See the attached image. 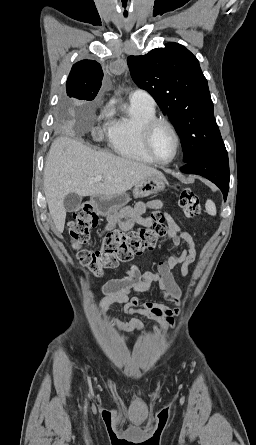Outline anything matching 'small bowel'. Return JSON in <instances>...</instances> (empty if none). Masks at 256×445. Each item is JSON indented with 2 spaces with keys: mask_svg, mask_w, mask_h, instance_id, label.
<instances>
[{
  "mask_svg": "<svg viewBox=\"0 0 256 445\" xmlns=\"http://www.w3.org/2000/svg\"><path fill=\"white\" fill-rule=\"evenodd\" d=\"M162 202L153 200L147 203H138L127 220L118 224H108L102 232L100 238L105 232L118 227L123 231L131 229L134 225L148 226L151 224L150 218H143L141 214L148 209H160ZM184 241L189 248L183 249L174 255L169 253L176 249L180 242ZM197 256V244L194 237L186 230L179 227L174 221L168 219L167 248L157 263V272H146L140 275L137 267L133 264L125 276L117 279H111L103 285V292L106 297L103 302V309L112 303L123 305V312L129 315L140 314L151 320L157 321L162 326L171 325L174 317L179 312V303L182 298V292L178 287L172 270L180 265V273L183 278L189 274L190 265ZM144 293H153L163 296L164 299L174 302L175 308L167 307L163 304L154 302H142L141 295ZM136 294L135 296H132ZM112 324L120 331L141 333L143 324L138 318H131L128 321L112 320ZM127 341V338L123 339Z\"/></svg>",
  "mask_w": 256,
  "mask_h": 445,
  "instance_id": "1",
  "label": "small bowel"
}]
</instances>
